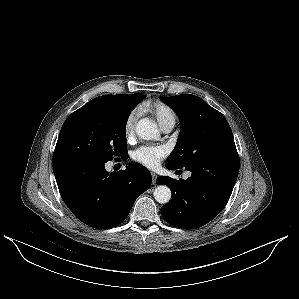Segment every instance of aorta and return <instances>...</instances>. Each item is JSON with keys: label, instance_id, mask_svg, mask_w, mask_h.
<instances>
[{"label": "aorta", "instance_id": "aorta-1", "mask_svg": "<svg viewBox=\"0 0 299 299\" xmlns=\"http://www.w3.org/2000/svg\"><path fill=\"white\" fill-rule=\"evenodd\" d=\"M137 135L144 140H155L159 137V131L155 123L148 119H142L136 126ZM155 200L160 204H166L171 199V190L166 185H159L153 192Z\"/></svg>", "mask_w": 299, "mask_h": 299}]
</instances>
